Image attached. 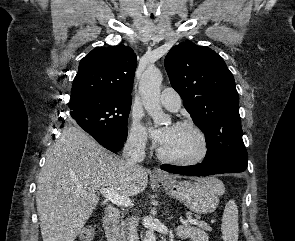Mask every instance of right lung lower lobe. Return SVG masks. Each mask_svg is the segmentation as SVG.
<instances>
[{
	"label": "right lung lower lobe",
	"instance_id": "obj_1",
	"mask_svg": "<svg viewBox=\"0 0 295 241\" xmlns=\"http://www.w3.org/2000/svg\"><path fill=\"white\" fill-rule=\"evenodd\" d=\"M99 144H101L103 147L107 148L108 150L112 152H118L122 146L124 141H116L111 140L105 136L99 135V134H90Z\"/></svg>",
	"mask_w": 295,
	"mask_h": 241
}]
</instances>
